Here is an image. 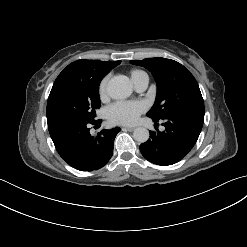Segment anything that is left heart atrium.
<instances>
[{
  "label": "left heart atrium",
  "mask_w": 247,
  "mask_h": 247,
  "mask_svg": "<svg viewBox=\"0 0 247 247\" xmlns=\"http://www.w3.org/2000/svg\"><path fill=\"white\" fill-rule=\"evenodd\" d=\"M145 110L146 105L141 101L116 102L109 107L108 118L115 124H133Z\"/></svg>",
  "instance_id": "left-heart-atrium-1"
}]
</instances>
